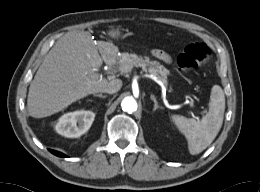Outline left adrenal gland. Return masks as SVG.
<instances>
[{
	"instance_id": "1",
	"label": "left adrenal gland",
	"mask_w": 260,
	"mask_h": 192,
	"mask_svg": "<svg viewBox=\"0 0 260 192\" xmlns=\"http://www.w3.org/2000/svg\"><path fill=\"white\" fill-rule=\"evenodd\" d=\"M150 98H151V100L154 102L153 111H156L158 108H161V109H162V107L159 106V104H158V102H157V100H156V98H155L154 95H151Z\"/></svg>"
}]
</instances>
